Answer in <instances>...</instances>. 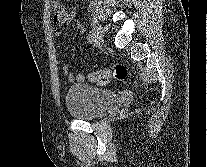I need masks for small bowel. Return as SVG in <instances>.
Instances as JSON below:
<instances>
[{
	"instance_id": "1",
	"label": "small bowel",
	"mask_w": 207,
	"mask_h": 167,
	"mask_svg": "<svg viewBox=\"0 0 207 167\" xmlns=\"http://www.w3.org/2000/svg\"><path fill=\"white\" fill-rule=\"evenodd\" d=\"M53 6L55 9L54 23L57 25H68L75 18V11L73 9L64 8L62 2L60 0H54ZM80 31L84 32V27L82 24L79 25ZM56 37H61V32H56ZM86 59L90 58V54H87ZM63 73L66 76L68 82H83L86 80V75L84 73L73 74L70 72L69 66L66 64L63 66Z\"/></svg>"
}]
</instances>
